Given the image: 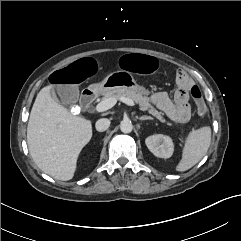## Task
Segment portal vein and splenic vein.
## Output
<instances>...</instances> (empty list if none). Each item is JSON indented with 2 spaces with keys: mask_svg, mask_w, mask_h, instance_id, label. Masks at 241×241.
Listing matches in <instances>:
<instances>
[{
  "mask_svg": "<svg viewBox=\"0 0 241 241\" xmlns=\"http://www.w3.org/2000/svg\"><path fill=\"white\" fill-rule=\"evenodd\" d=\"M120 101L123 103L129 105V106H135V103L133 100L126 98V97H121ZM117 103V100L114 98H107L102 100L100 103H98L95 107L97 112H104L110 108H112L115 104Z\"/></svg>",
  "mask_w": 241,
  "mask_h": 241,
  "instance_id": "1",
  "label": "portal vein and splenic vein"
}]
</instances>
